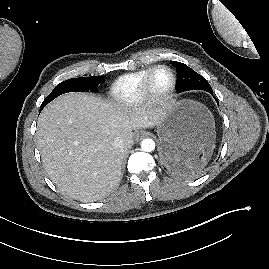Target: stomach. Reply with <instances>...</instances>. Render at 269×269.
<instances>
[{
    "instance_id": "1",
    "label": "stomach",
    "mask_w": 269,
    "mask_h": 269,
    "mask_svg": "<svg viewBox=\"0 0 269 269\" xmlns=\"http://www.w3.org/2000/svg\"><path fill=\"white\" fill-rule=\"evenodd\" d=\"M162 155L165 145L180 149L181 167L196 168L204 164L215 147V123L211 112L193 100L173 101L164 109L157 125Z\"/></svg>"
}]
</instances>
